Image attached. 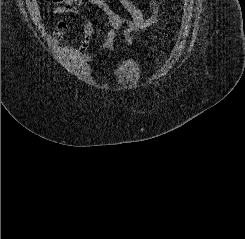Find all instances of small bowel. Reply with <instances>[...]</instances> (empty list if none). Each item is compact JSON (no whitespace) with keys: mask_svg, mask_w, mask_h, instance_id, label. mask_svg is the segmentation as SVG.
Listing matches in <instances>:
<instances>
[{"mask_svg":"<svg viewBox=\"0 0 245 239\" xmlns=\"http://www.w3.org/2000/svg\"><path fill=\"white\" fill-rule=\"evenodd\" d=\"M121 6L128 13L129 18H125L111 9L109 0H61V2L54 3L52 11L56 14L73 13L81 15L80 7L88 2L90 5L101 10L106 16L111 30L108 34V40L104 48H110V42L119 30H123L126 43H132L135 36H138L144 29L150 27L157 16V9L152 1H148L149 15H144L142 11L137 8L131 0H118ZM67 31V24L63 20L56 21L55 38L58 41ZM93 28L91 23H87L84 30V38L78 48V52L86 58L89 55L86 53L89 43L92 39Z\"/></svg>","mask_w":245,"mask_h":239,"instance_id":"obj_1","label":"small bowel"}]
</instances>
